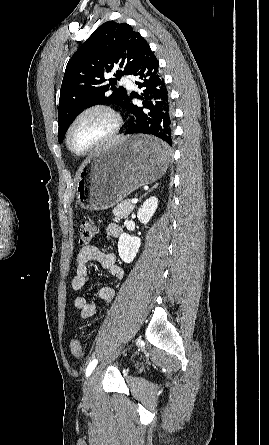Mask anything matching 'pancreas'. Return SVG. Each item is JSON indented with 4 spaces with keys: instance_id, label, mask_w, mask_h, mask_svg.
I'll return each instance as SVG.
<instances>
[{
    "instance_id": "cf45deb5",
    "label": "pancreas",
    "mask_w": 269,
    "mask_h": 445,
    "mask_svg": "<svg viewBox=\"0 0 269 445\" xmlns=\"http://www.w3.org/2000/svg\"><path fill=\"white\" fill-rule=\"evenodd\" d=\"M134 209V204L131 200H122L113 210V214L116 218H127Z\"/></svg>"
}]
</instances>
